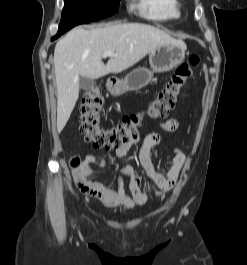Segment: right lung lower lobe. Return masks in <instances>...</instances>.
<instances>
[{
    "label": "right lung lower lobe",
    "mask_w": 247,
    "mask_h": 265,
    "mask_svg": "<svg viewBox=\"0 0 247 265\" xmlns=\"http://www.w3.org/2000/svg\"><path fill=\"white\" fill-rule=\"evenodd\" d=\"M90 21H95L94 19H74L71 21L62 22L59 25L58 33L52 38V40L57 39L59 36L64 34L69 29L73 28L74 26L81 24V23H87Z\"/></svg>",
    "instance_id": "98d812e1"
}]
</instances>
